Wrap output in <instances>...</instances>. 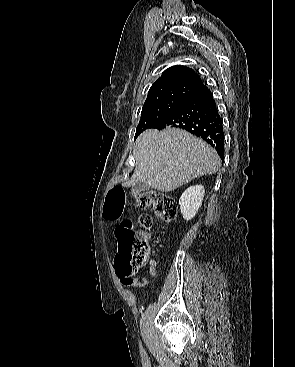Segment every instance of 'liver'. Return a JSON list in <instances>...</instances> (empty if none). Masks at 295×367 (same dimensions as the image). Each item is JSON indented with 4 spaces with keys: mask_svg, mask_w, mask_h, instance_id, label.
<instances>
[{
    "mask_svg": "<svg viewBox=\"0 0 295 367\" xmlns=\"http://www.w3.org/2000/svg\"><path fill=\"white\" fill-rule=\"evenodd\" d=\"M135 170L127 185L137 182L170 192L221 165L217 152L202 139L178 129L145 130L136 140Z\"/></svg>",
    "mask_w": 295,
    "mask_h": 367,
    "instance_id": "obj_1",
    "label": "liver"
}]
</instances>
